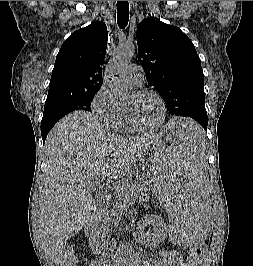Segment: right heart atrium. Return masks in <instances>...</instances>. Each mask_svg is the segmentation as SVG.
<instances>
[{
	"label": "right heart atrium",
	"instance_id": "obj_1",
	"mask_svg": "<svg viewBox=\"0 0 253 266\" xmlns=\"http://www.w3.org/2000/svg\"><path fill=\"white\" fill-rule=\"evenodd\" d=\"M91 110L105 125H112L120 112V105L109 88L103 84L97 90L91 101Z\"/></svg>",
	"mask_w": 253,
	"mask_h": 266
}]
</instances>
